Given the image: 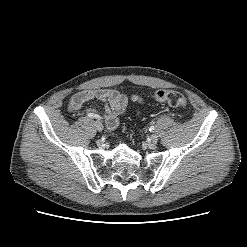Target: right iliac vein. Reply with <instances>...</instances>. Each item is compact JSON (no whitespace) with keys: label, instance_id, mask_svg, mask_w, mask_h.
I'll use <instances>...</instances> for the list:
<instances>
[{"label":"right iliac vein","instance_id":"1","mask_svg":"<svg viewBox=\"0 0 247 247\" xmlns=\"http://www.w3.org/2000/svg\"><path fill=\"white\" fill-rule=\"evenodd\" d=\"M94 125H95V127H96V129H97L98 131H102V130H103V125H102V123H101L100 121L96 120V121L94 122Z\"/></svg>","mask_w":247,"mask_h":247}]
</instances>
